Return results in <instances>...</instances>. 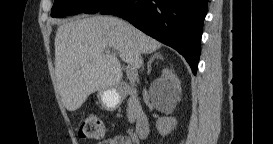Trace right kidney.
Instances as JSON below:
<instances>
[{
	"mask_svg": "<svg viewBox=\"0 0 273 144\" xmlns=\"http://www.w3.org/2000/svg\"><path fill=\"white\" fill-rule=\"evenodd\" d=\"M156 88H159V96L166 101L175 100L180 89V82L174 73L169 69L162 71V76L156 79L153 83ZM177 120L174 117L159 118L156 121V128L162 136H166L176 127Z\"/></svg>",
	"mask_w": 273,
	"mask_h": 144,
	"instance_id": "1",
	"label": "right kidney"
}]
</instances>
